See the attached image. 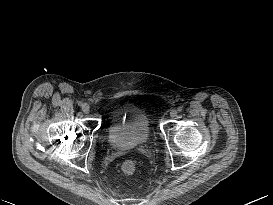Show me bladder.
I'll return each instance as SVG.
<instances>
[{"label": "bladder", "instance_id": "obj_1", "mask_svg": "<svg viewBox=\"0 0 273 205\" xmlns=\"http://www.w3.org/2000/svg\"><path fill=\"white\" fill-rule=\"evenodd\" d=\"M151 127L145 108L135 102L112 108L108 117L107 141L116 150H131L146 144Z\"/></svg>", "mask_w": 273, "mask_h": 205}]
</instances>
